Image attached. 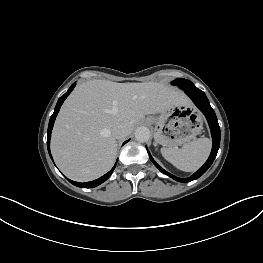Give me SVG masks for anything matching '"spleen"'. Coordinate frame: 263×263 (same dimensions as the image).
I'll use <instances>...</instances> for the list:
<instances>
[{"mask_svg":"<svg viewBox=\"0 0 263 263\" xmlns=\"http://www.w3.org/2000/svg\"><path fill=\"white\" fill-rule=\"evenodd\" d=\"M210 150V139L198 138L185 143L182 148H162L161 153L176 168L185 172H193L205 163Z\"/></svg>","mask_w":263,"mask_h":263,"instance_id":"obj_1","label":"spleen"}]
</instances>
